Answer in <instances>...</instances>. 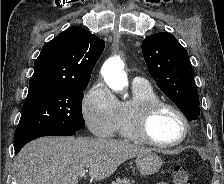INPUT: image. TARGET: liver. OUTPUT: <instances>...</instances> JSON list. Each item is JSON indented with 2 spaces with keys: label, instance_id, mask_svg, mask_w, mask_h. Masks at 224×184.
I'll use <instances>...</instances> for the list:
<instances>
[{
  "label": "liver",
  "instance_id": "obj_1",
  "mask_svg": "<svg viewBox=\"0 0 224 184\" xmlns=\"http://www.w3.org/2000/svg\"><path fill=\"white\" fill-rule=\"evenodd\" d=\"M151 152L110 138L42 137L28 143L14 160L17 184H78L81 170L100 181L128 159Z\"/></svg>",
  "mask_w": 224,
  "mask_h": 184
}]
</instances>
